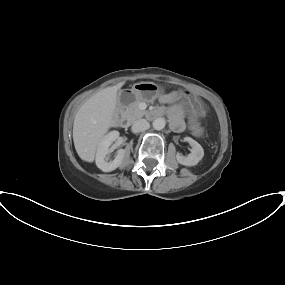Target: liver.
Listing matches in <instances>:
<instances>
[{"label": "liver", "instance_id": "6515ba94", "mask_svg": "<svg viewBox=\"0 0 285 285\" xmlns=\"http://www.w3.org/2000/svg\"><path fill=\"white\" fill-rule=\"evenodd\" d=\"M123 82L107 87L89 98L78 110L73 125V141L77 154L86 162H93L98 145L114 124L117 92Z\"/></svg>", "mask_w": 285, "mask_h": 285}]
</instances>
